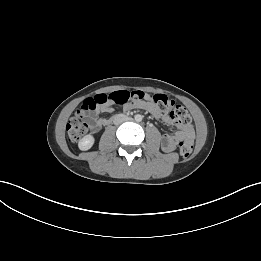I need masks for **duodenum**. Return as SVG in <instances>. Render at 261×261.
<instances>
[{
    "instance_id": "obj_1",
    "label": "duodenum",
    "mask_w": 261,
    "mask_h": 261,
    "mask_svg": "<svg viewBox=\"0 0 261 261\" xmlns=\"http://www.w3.org/2000/svg\"><path fill=\"white\" fill-rule=\"evenodd\" d=\"M111 121H112V119H109L108 122H107V124H109Z\"/></svg>"
}]
</instances>
